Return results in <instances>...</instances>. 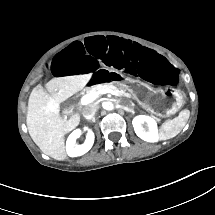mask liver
I'll use <instances>...</instances> for the list:
<instances>
[{
	"label": "liver",
	"mask_w": 215,
	"mask_h": 215,
	"mask_svg": "<svg viewBox=\"0 0 215 215\" xmlns=\"http://www.w3.org/2000/svg\"><path fill=\"white\" fill-rule=\"evenodd\" d=\"M92 73L53 78L45 87L34 88L29 96L27 128L35 144L46 155L57 159L66 158L64 135L75 129L80 122L78 113L69 120L60 117V103L81 91Z\"/></svg>",
	"instance_id": "obj_1"
}]
</instances>
